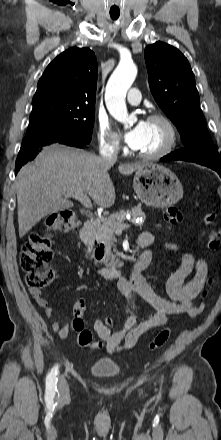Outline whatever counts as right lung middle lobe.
Listing matches in <instances>:
<instances>
[{"mask_svg": "<svg viewBox=\"0 0 221 440\" xmlns=\"http://www.w3.org/2000/svg\"><path fill=\"white\" fill-rule=\"evenodd\" d=\"M95 104L41 101L33 103L27 136L54 133L90 142Z\"/></svg>", "mask_w": 221, "mask_h": 440, "instance_id": "right-lung-middle-lobe-1", "label": "right lung middle lobe"}]
</instances>
